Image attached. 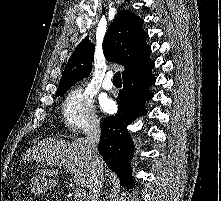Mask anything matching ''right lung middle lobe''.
<instances>
[{
  "label": "right lung middle lobe",
  "instance_id": "obj_1",
  "mask_svg": "<svg viewBox=\"0 0 221 201\" xmlns=\"http://www.w3.org/2000/svg\"><path fill=\"white\" fill-rule=\"evenodd\" d=\"M65 92H66V91H64V92H59V93H56V96H63Z\"/></svg>",
  "mask_w": 221,
  "mask_h": 201
}]
</instances>
